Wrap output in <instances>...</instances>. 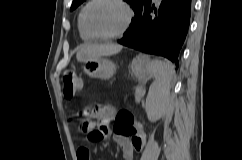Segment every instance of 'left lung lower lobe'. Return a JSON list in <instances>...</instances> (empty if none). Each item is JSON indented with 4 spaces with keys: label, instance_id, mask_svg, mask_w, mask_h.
I'll return each instance as SVG.
<instances>
[{
    "label": "left lung lower lobe",
    "instance_id": "0a47b994",
    "mask_svg": "<svg viewBox=\"0 0 242 160\" xmlns=\"http://www.w3.org/2000/svg\"><path fill=\"white\" fill-rule=\"evenodd\" d=\"M192 0H147L118 43L160 55L178 66V55L190 24Z\"/></svg>",
    "mask_w": 242,
    "mask_h": 160
}]
</instances>
